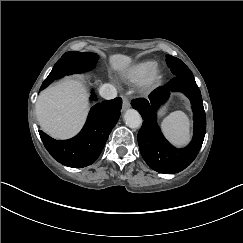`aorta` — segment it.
<instances>
[{"label":"aorta","mask_w":243,"mask_h":243,"mask_svg":"<svg viewBox=\"0 0 243 243\" xmlns=\"http://www.w3.org/2000/svg\"><path fill=\"white\" fill-rule=\"evenodd\" d=\"M124 121L129 128L137 129L142 125L141 115L135 109H128L124 114Z\"/></svg>","instance_id":"1"}]
</instances>
